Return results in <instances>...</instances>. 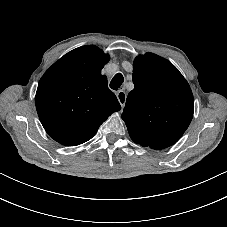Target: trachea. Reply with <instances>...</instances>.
I'll list each match as a JSON object with an SVG mask.
<instances>
[{
	"instance_id": "3493384b",
	"label": "trachea",
	"mask_w": 227,
	"mask_h": 227,
	"mask_svg": "<svg viewBox=\"0 0 227 227\" xmlns=\"http://www.w3.org/2000/svg\"><path fill=\"white\" fill-rule=\"evenodd\" d=\"M124 82V77L121 73H117L110 82V87L113 90H118V88L122 85Z\"/></svg>"
}]
</instances>
